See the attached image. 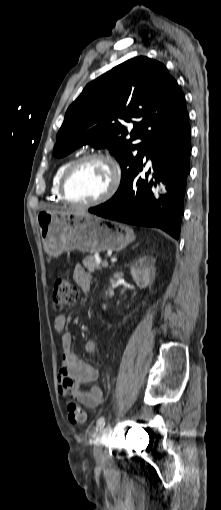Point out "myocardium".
Listing matches in <instances>:
<instances>
[{"label":"myocardium","instance_id":"obj_1","mask_svg":"<svg viewBox=\"0 0 221 510\" xmlns=\"http://www.w3.org/2000/svg\"><path fill=\"white\" fill-rule=\"evenodd\" d=\"M89 160H100V161L105 162L109 166V168L111 169V173H112L111 184L108 187V189L105 191L104 194H102L100 197H98L92 201H89V202L73 201L67 193V183H68L69 178H70L71 174L73 173V171L80 164H82L83 162L89 161ZM120 184H121V171H120V168H119L116 160L111 155H109L107 153L91 152V153H86V154L76 158L68 165V167L65 169V171L63 172V175L61 177L60 184H59V192H60V196L63 199V201H65L68 205L76 207V208H91V207L100 205V204L108 201L109 199H111L118 191Z\"/></svg>","mask_w":221,"mask_h":510}]
</instances>
